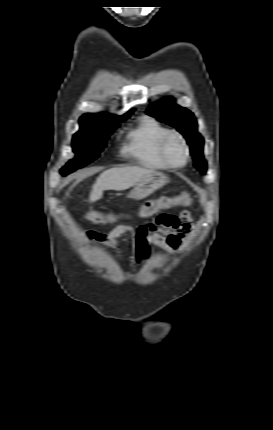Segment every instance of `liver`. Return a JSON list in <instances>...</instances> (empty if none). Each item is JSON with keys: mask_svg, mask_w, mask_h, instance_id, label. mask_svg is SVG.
<instances>
[{"mask_svg": "<svg viewBox=\"0 0 273 430\" xmlns=\"http://www.w3.org/2000/svg\"><path fill=\"white\" fill-rule=\"evenodd\" d=\"M152 172H154L152 169L141 167H119L108 169L101 173L97 178L89 200L90 202L99 200L105 190L122 191L129 189Z\"/></svg>", "mask_w": 273, "mask_h": 430, "instance_id": "obj_1", "label": "liver"}]
</instances>
